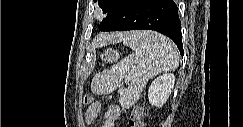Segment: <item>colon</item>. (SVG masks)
Masks as SVG:
<instances>
[{
  "label": "colon",
  "instance_id": "obj_1",
  "mask_svg": "<svg viewBox=\"0 0 243 127\" xmlns=\"http://www.w3.org/2000/svg\"><path fill=\"white\" fill-rule=\"evenodd\" d=\"M144 115L143 109L141 107H134L130 113L128 126L130 127H145L142 120Z\"/></svg>",
  "mask_w": 243,
  "mask_h": 127
}]
</instances>
